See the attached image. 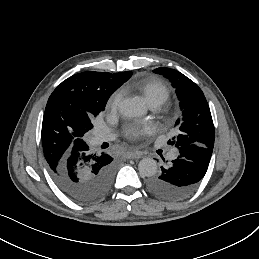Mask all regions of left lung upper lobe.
<instances>
[{
	"label": "left lung upper lobe",
	"mask_w": 259,
	"mask_h": 259,
	"mask_svg": "<svg viewBox=\"0 0 259 259\" xmlns=\"http://www.w3.org/2000/svg\"><path fill=\"white\" fill-rule=\"evenodd\" d=\"M154 72L172 82L182 110V118L176 121V125H179V134L168 141V144L174 145L177 149L192 144L213 149L214 125L202 90L192 80L174 69L160 67Z\"/></svg>",
	"instance_id": "1"
}]
</instances>
